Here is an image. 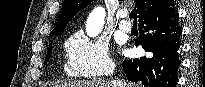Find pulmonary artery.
I'll use <instances>...</instances> for the list:
<instances>
[{
	"mask_svg": "<svg viewBox=\"0 0 205 87\" xmlns=\"http://www.w3.org/2000/svg\"><path fill=\"white\" fill-rule=\"evenodd\" d=\"M121 21L119 22V28L124 32H130L132 30V24L126 20L127 12L121 11L120 12Z\"/></svg>",
	"mask_w": 205,
	"mask_h": 87,
	"instance_id": "e3ab8cb5",
	"label": "pulmonary artery"
}]
</instances>
